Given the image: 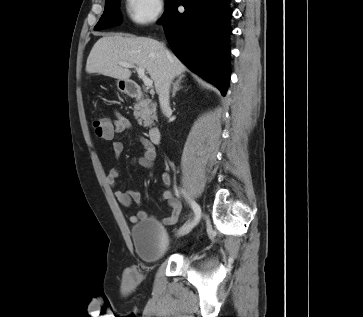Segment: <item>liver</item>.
Listing matches in <instances>:
<instances>
[{
	"mask_svg": "<svg viewBox=\"0 0 363 317\" xmlns=\"http://www.w3.org/2000/svg\"><path fill=\"white\" fill-rule=\"evenodd\" d=\"M159 41L147 37L111 34L100 38L93 46L86 63V72L98 73L119 80H128L131 71L121 62L146 69L158 92L168 68L174 76L182 75L186 66L173 54L167 57Z\"/></svg>",
	"mask_w": 363,
	"mask_h": 317,
	"instance_id": "6515ba94",
	"label": "liver"
}]
</instances>
